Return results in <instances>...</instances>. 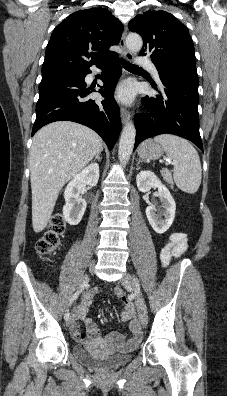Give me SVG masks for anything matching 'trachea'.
Segmentation results:
<instances>
[{
	"instance_id": "1",
	"label": "trachea",
	"mask_w": 227,
	"mask_h": 396,
	"mask_svg": "<svg viewBox=\"0 0 227 396\" xmlns=\"http://www.w3.org/2000/svg\"><path fill=\"white\" fill-rule=\"evenodd\" d=\"M121 63H122V66L129 71H143L142 68L135 66L124 59H121Z\"/></svg>"
}]
</instances>
